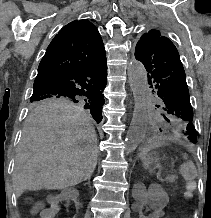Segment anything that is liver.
<instances>
[{"mask_svg":"<svg viewBox=\"0 0 211 218\" xmlns=\"http://www.w3.org/2000/svg\"><path fill=\"white\" fill-rule=\"evenodd\" d=\"M97 138L84 110L73 106L36 108L23 128L13 178L24 190H62L91 178L97 166Z\"/></svg>","mask_w":211,"mask_h":218,"instance_id":"obj_1","label":"liver"}]
</instances>
